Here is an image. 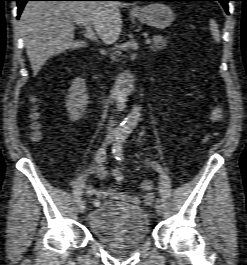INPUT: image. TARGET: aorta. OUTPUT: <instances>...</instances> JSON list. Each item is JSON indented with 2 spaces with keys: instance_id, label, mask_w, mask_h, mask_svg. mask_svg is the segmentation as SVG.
Segmentation results:
<instances>
[{
  "instance_id": "obj_1",
  "label": "aorta",
  "mask_w": 247,
  "mask_h": 265,
  "mask_svg": "<svg viewBox=\"0 0 247 265\" xmlns=\"http://www.w3.org/2000/svg\"><path fill=\"white\" fill-rule=\"evenodd\" d=\"M141 108L135 105L130 113L126 116L124 121L121 123V130L125 133H130L136 127L140 120Z\"/></svg>"
}]
</instances>
